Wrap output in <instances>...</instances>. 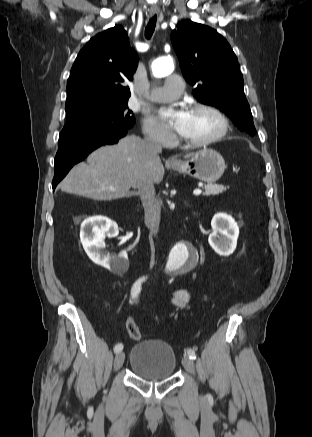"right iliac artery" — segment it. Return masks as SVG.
I'll use <instances>...</instances> for the list:
<instances>
[{"mask_svg": "<svg viewBox=\"0 0 312 437\" xmlns=\"http://www.w3.org/2000/svg\"><path fill=\"white\" fill-rule=\"evenodd\" d=\"M145 279H146L145 277L138 279L134 283V285L132 286V289H131V299L132 300H134L138 297V295L141 291V284L143 283V281H145ZM122 349H123V345L121 343H118L114 347V352L119 353Z\"/></svg>", "mask_w": 312, "mask_h": 437, "instance_id": "right-iliac-artery-1", "label": "right iliac artery"}]
</instances>
